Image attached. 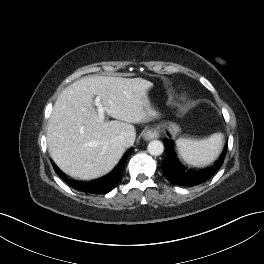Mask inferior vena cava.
Returning a JSON list of instances; mask_svg holds the SVG:
<instances>
[{
	"instance_id": "inferior-vena-cava-1",
	"label": "inferior vena cava",
	"mask_w": 264,
	"mask_h": 264,
	"mask_svg": "<svg viewBox=\"0 0 264 264\" xmlns=\"http://www.w3.org/2000/svg\"><path fill=\"white\" fill-rule=\"evenodd\" d=\"M115 141L123 146H126L128 141L124 136H118L115 138Z\"/></svg>"
}]
</instances>
